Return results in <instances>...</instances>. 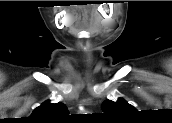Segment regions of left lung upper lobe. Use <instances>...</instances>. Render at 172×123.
I'll return each instance as SVG.
<instances>
[{
  "mask_svg": "<svg viewBox=\"0 0 172 123\" xmlns=\"http://www.w3.org/2000/svg\"><path fill=\"white\" fill-rule=\"evenodd\" d=\"M102 108L104 114L110 116H125L135 110V108L124 99H118L116 102L107 99L103 102Z\"/></svg>",
  "mask_w": 172,
  "mask_h": 123,
  "instance_id": "5c2ea615",
  "label": "left lung upper lobe"
}]
</instances>
